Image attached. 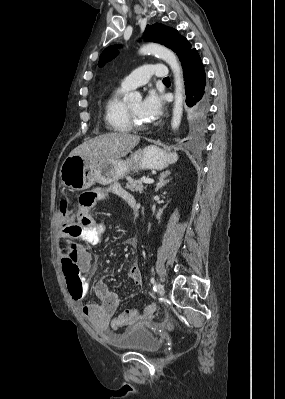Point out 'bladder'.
I'll list each match as a JSON object with an SVG mask.
<instances>
[{"instance_id": "bladder-1", "label": "bladder", "mask_w": 285, "mask_h": 399, "mask_svg": "<svg viewBox=\"0 0 285 399\" xmlns=\"http://www.w3.org/2000/svg\"><path fill=\"white\" fill-rule=\"evenodd\" d=\"M111 340L120 350L137 351L144 354H154L160 348V342L142 326H133L127 329L122 336L111 337Z\"/></svg>"}]
</instances>
